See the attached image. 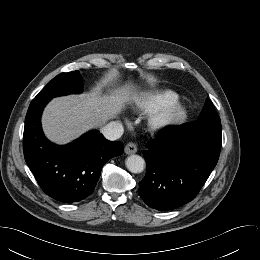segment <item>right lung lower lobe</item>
<instances>
[{"mask_svg": "<svg viewBox=\"0 0 260 260\" xmlns=\"http://www.w3.org/2000/svg\"><path fill=\"white\" fill-rule=\"evenodd\" d=\"M50 98H34L25 118L23 150L43 191L63 203L79 202L94 190L104 164L123 153V144L90 131L65 146L44 136L40 118Z\"/></svg>", "mask_w": 260, "mask_h": 260, "instance_id": "obj_1", "label": "right lung lower lobe"}]
</instances>
